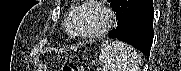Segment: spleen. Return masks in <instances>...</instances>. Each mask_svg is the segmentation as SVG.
Wrapping results in <instances>:
<instances>
[{
    "mask_svg": "<svg viewBox=\"0 0 181 71\" xmlns=\"http://www.w3.org/2000/svg\"><path fill=\"white\" fill-rule=\"evenodd\" d=\"M101 47L99 55L101 71H139V55L127 44L105 40Z\"/></svg>",
    "mask_w": 181,
    "mask_h": 71,
    "instance_id": "1",
    "label": "spleen"
}]
</instances>
